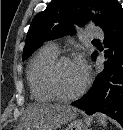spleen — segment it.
<instances>
[{
	"mask_svg": "<svg viewBox=\"0 0 123 130\" xmlns=\"http://www.w3.org/2000/svg\"><path fill=\"white\" fill-rule=\"evenodd\" d=\"M98 118L100 119L101 124L105 127L107 125L106 117L102 114H98Z\"/></svg>",
	"mask_w": 123,
	"mask_h": 130,
	"instance_id": "3e777b00",
	"label": "spleen"
}]
</instances>
